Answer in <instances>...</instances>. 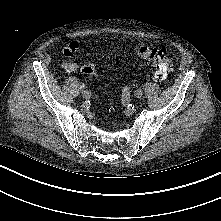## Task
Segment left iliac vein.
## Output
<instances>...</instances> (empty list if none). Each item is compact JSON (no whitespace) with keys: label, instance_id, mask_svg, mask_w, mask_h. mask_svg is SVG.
<instances>
[{"label":"left iliac vein","instance_id":"left-iliac-vein-1","mask_svg":"<svg viewBox=\"0 0 221 221\" xmlns=\"http://www.w3.org/2000/svg\"><path fill=\"white\" fill-rule=\"evenodd\" d=\"M135 97L140 98L143 95V90L142 89H137L134 93Z\"/></svg>","mask_w":221,"mask_h":221}]
</instances>
